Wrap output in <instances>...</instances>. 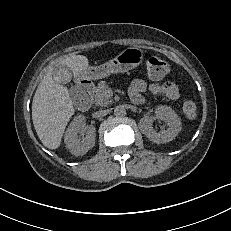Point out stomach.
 <instances>
[{"instance_id": "stomach-1", "label": "stomach", "mask_w": 231, "mask_h": 231, "mask_svg": "<svg viewBox=\"0 0 231 231\" xmlns=\"http://www.w3.org/2000/svg\"><path fill=\"white\" fill-rule=\"evenodd\" d=\"M143 51L137 47H128L119 53L114 59L96 67H88L81 72V76L96 80L113 73H123L139 66L143 61Z\"/></svg>"}]
</instances>
